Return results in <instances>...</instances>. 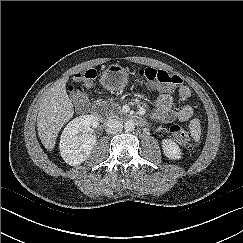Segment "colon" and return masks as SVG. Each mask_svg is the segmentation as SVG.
<instances>
[{"label":"colon","mask_w":243,"mask_h":243,"mask_svg":"<svg viewBox=\"0 0 243 243\" xmlns=\"http://www.w3.org/2000/svg\"><path fill=\"white\" fill-rule=\"evenodd\" d=\"M138 74L145 80L157 83L166 89H174L182 83L180 76L151 67L140 69ZM96 75L95 69H88L74 75V83L69 86V91L78 109L86 108L88 100L84 85H90ZM169 131L172 138L178 143L187 144L191 140L190 134L178 124L171 125Z\"/></svg>","instance_id":"colon-1"}]
</instances>
